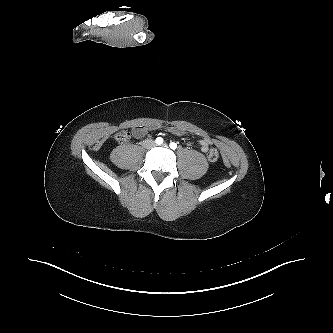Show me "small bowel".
I'll use <instances>...</instances> for the list:
<instances>
[{"label":"small bowel","instance_id":"1","mask_svg":"<svg viewBox=\"0 0 333 333\" xmlns=\"http://www.w3.org/2000/svg\"><path fill=\"white\" fill-rule=\"evenodd\" d=\"M169 130L176 135H182L185 132L181 127H171ZM147 132L148 128L145 126H136L132 129V134L135 138H142L147 134ZM211 144V140L207 137L199 140L200 149L204 153L208 152Z\"/></svg>","mask_w":333,"mask_h":333}]
</instances>
